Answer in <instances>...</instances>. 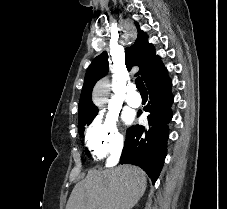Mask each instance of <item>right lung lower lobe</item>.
Masks as SVG:
<instances>
[{
  "instance_id": "right-lung-lower-lobe-1",
  "label": "right lung lower lobe",
  "mask_w": 227,
  "mask_h": 209,
  "mask_svg": "<svg viewBox=\"0 0 227 209\" xmlns=\"http://www.w3.org/2000/svg\"><path fill=\"white\" fill-rule=\"evenodd\" d=\"M150 101L144 108L149 112V126H132L127 130L120 163L141 167L154 184L161 172L167 153L168 123L172 118L171 80L161 65L146 82Z\"/></svg>"
}]
</instances>
